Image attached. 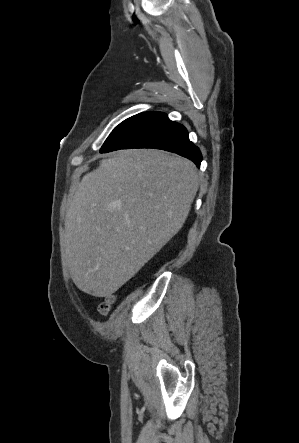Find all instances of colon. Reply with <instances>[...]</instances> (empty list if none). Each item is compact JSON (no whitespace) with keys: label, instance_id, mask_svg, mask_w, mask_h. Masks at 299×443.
Wrapping results in <instances>:
<instances>
[{"label":"colon","instance_id":"1","mask_svg":"<svg viewBox=\"0 0 299 443\" xmlns=\"http://www.w3.org/2000/svg\"><path fill=\"white\" fill-rule=\"evenodd\" d=\"M114 301H115V296L114 295H108L104 299V301L99 305V312L102 315L108 314L110 309H111V307H112V304L114 303Z\"/></svg>","mask_w":299,"mask_h":443}]
</instances>
